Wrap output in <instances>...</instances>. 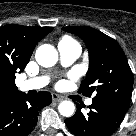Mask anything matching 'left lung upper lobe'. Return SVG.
<instances>
[{
  "instance_id": "obj_1",
  "label": "left lung upper lobe",
  "mask_w": 136,
  "mask_h": 136,
  "mask_svg": "<svg viewBox=\"0 0 136 136\" xmlns=\"http://www.w3.org/2000/svg\"><path fill=\"white\" fill-rule=\"evenodd\" d=\"M65 31L79 36L89 51V70L79 92L94 100L129 107L132 95V71L120 45L106 34L88 26H68Z\"/></svg>"
}]
</instances>
